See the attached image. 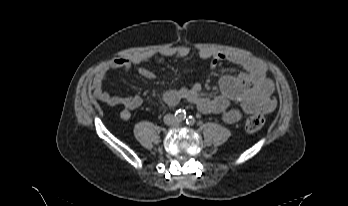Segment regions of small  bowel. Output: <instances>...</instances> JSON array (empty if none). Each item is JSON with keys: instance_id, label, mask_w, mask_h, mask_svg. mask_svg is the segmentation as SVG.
Wrapping results in <instances>:
<instances>
[{"instance_id": "c3829d8e", "label": "small bowel", "mask_w": 348, "mask_h": 206, "mask_svg": "<svg viewBox=\"0 0 348 206\" xmlns=\"http://www.w3.org/2000/svg\"><path fill=\"white\" fill-rule=\"evenodd\" d=\"M189 52L188 47L179 46L161 52L148 51L117 58L96 73L93 81V94L98 101L106 105L122 106L120 117L122 120H129L131 112L143 104V99L139 95L116 96L110 94L105 89L109 70L136 69L143 78L151 80L155 75L143 64L163 58H185ZM199 56L203 60L209 61L212 68H216L220 61L228 60L241 66L244 72L222 76L220 95H204L199 82L167 90L164 93V100L167 104L176 105L185 99L200 112L219 115L228 124H235L251 114H267L275 109L274 83L266 76V69L261 63L240 54H224L208 49L200 50ZM233 102L237 103L236 107L231 106Z\"/></svg>"}]
</instances>
